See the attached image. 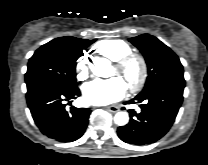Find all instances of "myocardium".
<instances>
[{
  "mask_svg": "<svg viewBox=\"0 0 208 165\" xmlns=\"http://www.w3.org/2000/svg\"><path fill=\"white\" fill-rule=\"evenodd\" d=\"M132 61H136L139 64L140 71L137 80L128 85L127 89L130 92H137L144 86L148 76V65L145 57L141 54L130 52L115 60L113 66L116 70L122 71Z\"/></svg>",
  "mask_w": 208,
  "mask_h": 165,
  "instance_id": "myocardium-1",
  "label": "myocardium"
}]
</instances>
